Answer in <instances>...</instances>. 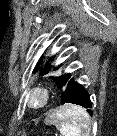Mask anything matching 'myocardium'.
Wrapping results in <instances>:
<instances>
[{"instance_id": "f54148a6", "label": "myocardium", "mask_w": 117, "mask_h": 136, "mask_svg": "<svg viewBox=\"0 0 117 136\" xmlns=\"http://www.w3.org/2000/svg\"><path fill=\"white\" fill-rule=\"evenodd\" d=\"M24 98L29 108L42 109L49 101L50 88L44 83L34 84L26 91Z\"/></svg>"}]
</instances>
